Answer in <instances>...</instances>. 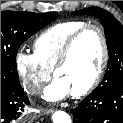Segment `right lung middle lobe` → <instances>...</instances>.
I'll list each match as a JSON object with an SVG mask.
<instances>
[{"mask_svg": "<svg viewBox=\"0 0 123 123\" xmlns=\"http://www.w3.org/2000/svg\"><path fill=\"white\" fill-rule=\"evenodd\" d=\"M58 17L57 13L1 12V85L18 86V48L33 34Z\"/></svg>", "mask_w": 123, "mask_h": 123, "instance_id": "obj_1", "label": "right lung middle lobe"}]
</instances>
